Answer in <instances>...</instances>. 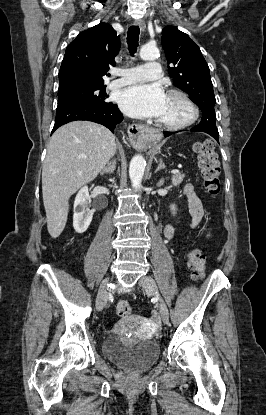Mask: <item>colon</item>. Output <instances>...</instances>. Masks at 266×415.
<instances>
[{"label":"colon","instance_id":"colon-1","mask_svg":"<svg viewBox=\"0 0 266 415\" xmlns=\"http://www.w3.org/2000/svg\"><path fill=\"white\" fill-rule=\"evenodd\" d=\"M198 158V167L206 191L215 196L220 191V166L214 143L211 140L199 142L194 146ZM188 265L194 280H200L204 276L205 256L199 249H192L188 253ZM131 306L126 301H120L117 305V314L127 317L131 314Z\"/></svg>","mask_w":266,"mask_h":415}]
</instances>
